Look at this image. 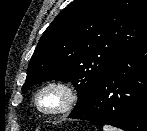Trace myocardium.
<instances>
[{
  "label": "myocardium",
  "instance_id": "1",
  "mask_svg": "<svg viewBox=\"0 0 147 131\" xmlns=\"http://www.w3.org/2000/svg\"><path fill=\"white\" fill-rule=\"evenodd\" d=\"M54 90L62 96L61 104L54 109H43L39 104L41 95L47 91ZM33 105L35 109L44 116H59L70 113L78 104L79 91L76 86L64 79H52L40 85L33 94Z\"/></svg>",
  "mask_w": 147,
  "mask_h": 131
}]
</instances>
